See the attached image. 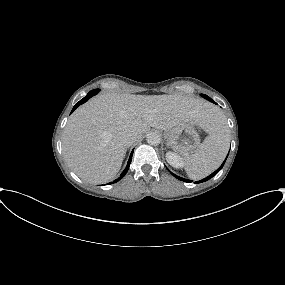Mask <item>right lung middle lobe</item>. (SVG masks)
Here are the masks:
<instances>
[{"mask_svg": "<svg viewBox=\"0 0 285 285\" xmlns=\"http://www.w3.org/2000/svg\"><path fill=\"white\" fill-rule=\"evenodd\" d=\"M94 91H97V92H99V89H94Z\"/></svg>", "mask_w": 285, "mask_h": 285, "instance_id": "right-lung-middle-lobe-1", "label": "right lung middle lobe"}]
</instances>
